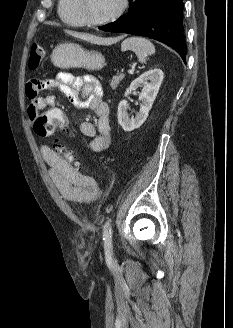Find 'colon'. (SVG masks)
Here are the masks:
<instances>
[{
	"label": "colon",
	"instance_id": "obj_1",
	"mask_svg": "<svg viewBox=\"0 0 233 328\" xmlns=\"http://www.w3.org/2000/svg\"><path fill=\"white\" fill-rule=\"evenodd\" d=\"M45 57V49L40 44H33L29 56V68L37 69ZM69 125V116L62 109H52L44 114L38 115L33 121L34 131L41 137H52L58 131H64ZM54 150L69 164L78 169L76 158L62 144L56 143Z\"/></svg>",
	"mask_w": 233,
	"mask_h": 328
}]
</instances>
